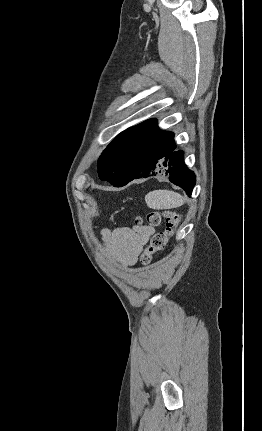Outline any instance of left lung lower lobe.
Masks as SVG:
<instances>
[{
  "mask_svg": "<svg viewBox=\"0 0 262 431\" xmlns=\"http://www.w3.org/2000/svg\"><path fill=\"white\" fill-rule=\"evenodd\" d=\"M173 138V133L166 132L155 136L151 143L142 146L131 162V176L128 182L163 173L172 183L183 188L187 195H191L196 176L185 165L184 154L181 150H176Z\"/></svg>",
  "mask_w": 262,
  "mask_h": 431,
  "instance_id": "obj_1",
  "label": "left lung lower lobe"
}]
</instances>
